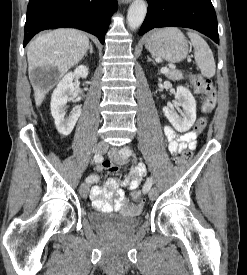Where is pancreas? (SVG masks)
I'll return each instance as SVG.
<instances>
[{"label":"pancreas","instance_id":"1","mask_svg":"<svg viewBox=\"0 0 247 275\" xmlns=\"http://www.w3.org/2000/svg\"><path fill=\"white\" fill-rule=\"evenodd\" d=\"M165 76L170 80H181L183 79V73L178 70H169L165 73Z\"/></svg>","mask_w":247,"mask_h":275}]
</instances>
